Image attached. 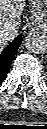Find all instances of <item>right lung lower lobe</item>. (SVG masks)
Segmentation results:
<instances>
[{
    "label": "right lung lower lobe",
    "instance_id": "98d812e1",
    "mask_svg": "<svg viewBox=\"0 0 47 129\" xmlns=\"http://www.w3.org/2000/svg\"><path fill=\"white\" fill-rule=\"evenodd\" d=\"M21 41H22V38L19 35L0 54V84L7 76V73L11 66V62L16 54L17 49L20 46Z\"/></svg>",
    "mask_w": 47,
    "mask_h": 129
}]
</instances>
